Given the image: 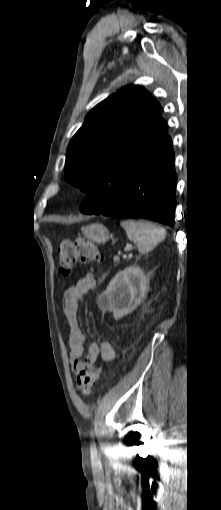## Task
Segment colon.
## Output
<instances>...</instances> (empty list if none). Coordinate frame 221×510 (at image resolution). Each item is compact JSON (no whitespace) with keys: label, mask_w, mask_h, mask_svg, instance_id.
Listing matches in <instances>:
<instances>
[{"label":"colon","mask_w":221,"mask_h":510,"mask_svg":"<svg viewBox=\"0 0 221 510\" xmlns=\"http://www.w3.org/2000/svg\"><path fill=\"white\" fill-rule=\"evenodd\" d=\"M101 259L98 248L84 238L75 241L65 240L58 248V268L63 276H68L76 263L95 262ZM102 373V368L96 371H81L77 376V389L84 396H90L96 381Z\"/></svg>","instance_id":"5ec220e1"}]
</instances>
